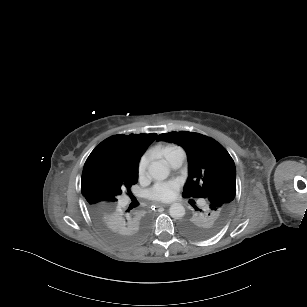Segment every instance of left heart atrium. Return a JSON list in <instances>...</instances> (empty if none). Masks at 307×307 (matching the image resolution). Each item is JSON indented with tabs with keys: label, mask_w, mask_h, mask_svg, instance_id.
Instances as JSON below:
<instances>
[{
	"label": "left heart atrium",
	"mask_w": 307,
	"mask_h": 307,
	"mask_svg": "<svg viewBox=\"0 0 307 307\" xmlns=\"http://www.w3.org/2000/svg\"><path fill=\"white\" fill-rule=\"evenodd\" d=\"M175 188L170 183H161L156 185L150 191V197L156 200H168L173 197Z\"/></svg>",
	"instance_id": "1"
}]
</instances>
